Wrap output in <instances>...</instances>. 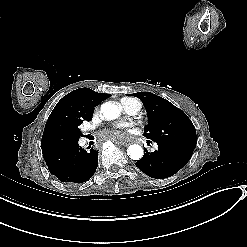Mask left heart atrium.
<instances>
[{
  "label": "left heart atrium",
  "instance_id": "39dd6f15",
  "mask_svg": "<svg viewBox=\"0 0 247 247\" xmlns=\"http://www.w3.org/2000/svg\"><path fill=\"white\" fill-rule=\"evenodd\" d=\"M104 138V144H112L115 146H128L131 148L129 144L128 135L119 127L115 126L111 129L101 130ZM137 133V130H136ZM135 133V135H136Z\"/></svg>",
  "mask_w": 247,
  "mask_h": 247
}]
</instances>
